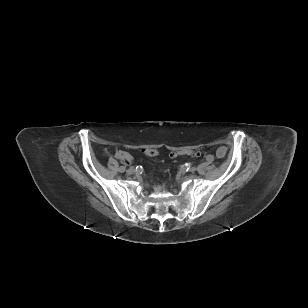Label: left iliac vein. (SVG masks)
Listing matches in <instances>:
<instances>
[{"instance_id": "4c4485c4", "label": "left iliac vein", "mask_w": 308, "mask_h": 308, "mask_svg": "<svg viewBox=\"0 0 308 308\" xmlns=\"http://www.w3.org/2000/svg\"><path fill=\"white\" fill-rule=\"evenodd\" d=\"M189 171H190V172H195V171H196V168H195V167H191Z\"/></svg>"}]
</instances>
